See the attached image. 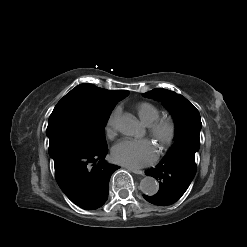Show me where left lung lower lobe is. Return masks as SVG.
<instances>
[{"label": "left lung lower lobe", "mask_w": 247, "mask_h": 247, "mask_svg": "<svg viewBox=\"0 0 247 247\" xmlns=\"http://www.w3.org/2000/svg\"><path fill=\"white\" fill-rule=\"evenodd\" d=\"M195 153L188 149L173 151L156 168L147 170L146 175L159 181V191L153 196L143 197L160 206L171 205L179 200L196 174Z\"/></svg>", "instance_id": "0a47b994"}]
</instances>
